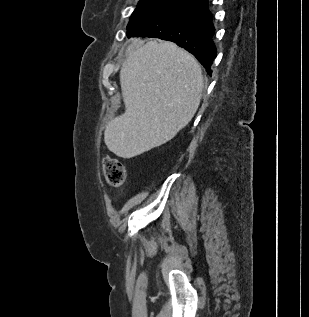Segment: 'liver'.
Segmentation results:
<instances>
[{
    "mask_svg": "<svg viewBox=\"0 0 309 317\" xmlns=\"http://www.w3.org/2000/svg\"><path fill=\"white\" fill-rule=\"evenodd\" d=\"M125 113L106 126L104 142L132 158L175 137L195 115L203 90L196 59L168 41L132 39L120 69Z\"/></svg>",
    "mask_w": 309,
    "mask_h": 317,
    "instance_id": "6515ba94",
    "label": "liver"
}]
</instances>
